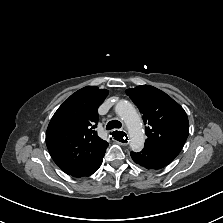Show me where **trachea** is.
<instances>
[{
    "label": "trachea",
    "mask_w": 223,
    "mask_h": 223,
    "mask_svg": "<svg viewBox=\"0 0 223 223\" xmlns=\"http://www.w3.org/2000/svg\"><path fill=\"white\" fill-rule=\"evenodd\" d=\"M122 127V124L120 121L118 120H112L110 121L107 126H106V130H112V129H119Z\"/></svg>",
    "instance_id": "3493384b"
}]
</instances>
